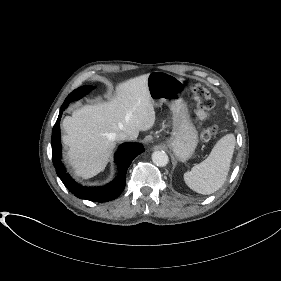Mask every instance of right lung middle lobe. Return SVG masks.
<instances>
[{
	"mask_svg": "<svg viewBox=\"0 0 281 281\" xmlns=\"http://www.w3.org/2000/svg\"><path fill=\"white\" fill-rule=\"evenodd\" d=\"M92 89H93V86H90V85L79 87L78 89L71 92L68 95V97L65 99V101L72 102L74 100H77Z\"/></svg>",
	"mask_w": 281,
	"mask_h": 281,
	"instance_id": "1",
	"label": "right lung middle lobe"
}]
</instances>
